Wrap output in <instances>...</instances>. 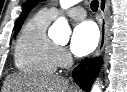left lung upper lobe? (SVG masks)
Segmentation results:
<instances>
[{
    "label": "left lung upper lobe",
    "mask_w": 127,
    "mask_h": 92,
    "mask_svg": "<svg viewBox=\"0 0 127 92\" xmlns=\"http://www.w3.org/2000/svg\"><path fill=\"white\" fill-rule=\"evenodd\" d=\"M39 0H29L27 5L25 6L24 10L22 11L20 17H19V20H18V26H17V30H16V34L18 33V31L20 30L21 28V25L23 23V20L24 18L26 17L28 11L36 4L38 3ZM15 34V35H16Z\"/></svg>",
    "instance_id": "1"
}]
</instances>
